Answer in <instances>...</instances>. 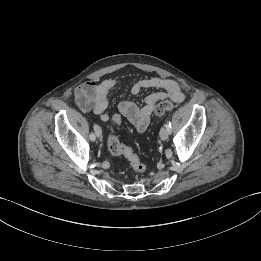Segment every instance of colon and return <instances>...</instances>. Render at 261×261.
<instances>
[{
  "label": "colon",
  "instance_id": "5ec220e1",
  "mask_svg": "<svg viewBox=\"0 0 261 261\" xmlns=\"http://www.w3.org/2000/svg\"><path fill=\"white\" fill-rule=\"evenodd\" d=\"M175 105L171 101H163L158 103L154 107V113L156 116H161L168 111L173 110ZM114 125L121 123V117L115 116L112 119ZM107 147L109 152L115 156H124L133 169L137 173H142L145 170V166L140 160L139 156L129 147L121 144L114 135H109L107 138Z\"/></svg>",
  "mask_w": 261,
  "mask_h": 261
}]
</instances>
